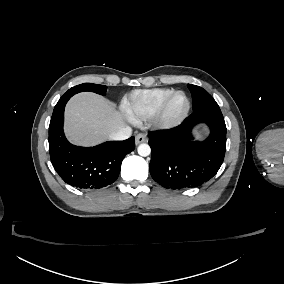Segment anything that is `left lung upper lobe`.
I'll return each instance as SVG.
<instances>
[{"instance_id":"left-lung-upper-lobe-1","label":"left lung upper lobe","mask_w":284,"mask_h":284,"mask_svg":"<svg viewBox=\"0 0 284 284\" xmlns=\"http://www.w3.org/2000/svg\"><path fill=\"white\" fill-rule=\"evenodd\" d=\"M188 88L192 94L193 111L206 107V106H217L218 105L216 101L213 99V97L203 88L196 86V85H191V84H188Z\"/></svg>"}]
</instances>
